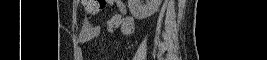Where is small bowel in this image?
I'll use <instances>...</instances> for the list:
<instances>
[{
	"label": "small bowel",
	"mask_w": 267,
	"mask_h": 60,
	"mask_svg": "<svg viewBox=\"0 0 267 60\" xmlns=\"http://www.w3.org/2000/svg\"><path fill=\"white\" fill-rule=\"evenodd\" d=\"M105 5H116L119 13L112 16L107 23L109 32H114L115 29L121 28L124 35H131L134 31V18L127 15V7L123 1L120 0H106ZM101 28L92 23L91 20L85 19L82 23L78 39L81 43L94 40L100 36Z\"/></svg>",
	"instance_id": "1"
}]
</instances>
